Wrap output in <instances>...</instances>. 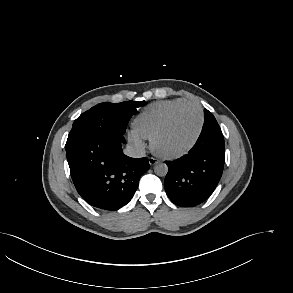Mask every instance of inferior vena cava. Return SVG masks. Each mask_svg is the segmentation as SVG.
Returning <instances> with one entry per match:
<instances>
[{
	"label": "inferior vena cava",
	"mask_w": 293,
	"mask_h": 293,
	"mask_svg": "<svg viewBox=\"0 0 293 293\" xmlns=\"http://www.w3.org/2000/svg\"><path fill=\"white\" fill-rule=\"evenodd\" d=\"M124 153L129 157L141 158L145 156V149L140 144L127 145V147L124 150Z\"/></svg>",
	"instance_id": "602c4592"
}]
</instances>
